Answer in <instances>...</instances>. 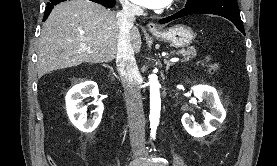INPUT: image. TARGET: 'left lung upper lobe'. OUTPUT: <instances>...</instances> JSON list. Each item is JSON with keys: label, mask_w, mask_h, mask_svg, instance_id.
I'll use <instances>...</instances> for the list:
<instances>
[{"label": "left lung upper lobe", "mask_w": 277, "mask_h": 166, "mask_svg": "<svg viewBox=\"0 0 277 166\" xmlns=\"http://www.w3.org/2000/svg\"><path fill=\"white\" fill-rule=\"evenodd\" d=\"M200 1H202V0H187L185 7L192 6Z\"/></svg>", "instance_id": "left-lung-upper-lobe-1"}]
</instances>
